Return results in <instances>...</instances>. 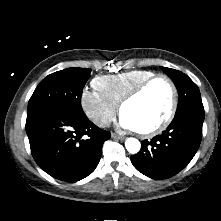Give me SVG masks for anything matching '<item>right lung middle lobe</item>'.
<instances>
[{"label": "right lung middle lobe", "instance_id": "1", "mask_svg": "<svg viewBox=\"0 0 221 221\" xmlns=\"http://www.w3.org/2000/svg\"><path fill=\"white\" fill-rule=\"evenodd\" d=\"M90 72L86 68H68L45 77L28 102L27 116L56 109L83 112L81 96Z\"/></svg>", "mask_w": 221, "mask_h": 221}]
</instances>
